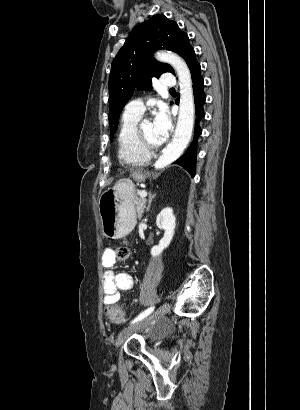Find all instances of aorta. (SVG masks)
Returning a JSON list of instances; mask_svg holds the SVG:
<instances>
[{
    "label": "aorta",
    "instance_id": "obj_1",
    "mask_svg": "<svg viewBox=\"0 0 300 410\" xmlns=\"http://www.w3.org/2000/svg\"><path fill=\"white\" fill-rule=\"evenodd\" d=\"M157 60L170 64L177 73L180 85V104L174 138L155 161V169H162L177 160L189 144L194 126L195 106L192 80L186 62L177 54L160 51Z\"/></svg>",
    "mask_w": 300,
    "mask_h": 410
}]
</instances>
